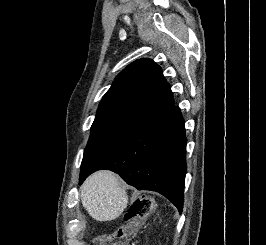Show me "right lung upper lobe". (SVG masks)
I'll list each match as a JSON object with an SVG mask.
<instances>
[{"label":"right lung upper lobe","mask_w":266,"mask_h":245,"mask_svg":"<svg viewBox=\"0 0 266 245\" xmlns=\"http://www.w3.org/2000/svg\"><path fill=\"white\" fill-rule=\"evenodd\" d=\"M174 105L162 69L150 59L128 65L103 96L96 116L114 115L145 120Z\"/></svg>","instance_id":"obj_1"}]
</instances>
